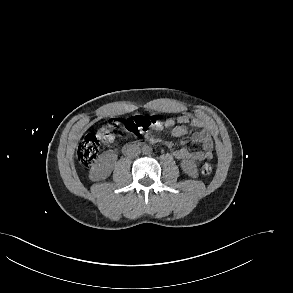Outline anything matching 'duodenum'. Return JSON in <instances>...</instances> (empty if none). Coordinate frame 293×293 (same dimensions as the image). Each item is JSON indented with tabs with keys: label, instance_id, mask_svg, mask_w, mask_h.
<instances>
[{
	"label": "duodenum",
	"instance_id": "obj_1",
	"mask_svg": "<svg viewBox=\"0 0 293 293\" xmlns=\"http://www.w3.org/2000/svg\"><path fill=\"white\" fill-rule=\"evenodd\" d=\"M152 142H153L152 139H148L146 141H139V142H134V143H128V144H126L123 147L122 151H123L124 154H129L133 150L138 149V148H141V147H143V146H145L147 144H151Z\"/></svg>",
	"mask_w": 293,
	"mask_h": 293
}]
</instances>
